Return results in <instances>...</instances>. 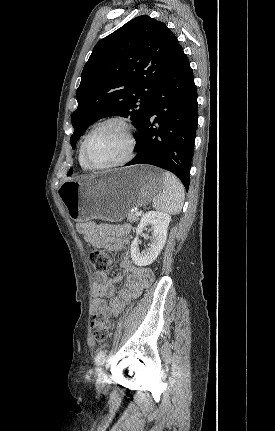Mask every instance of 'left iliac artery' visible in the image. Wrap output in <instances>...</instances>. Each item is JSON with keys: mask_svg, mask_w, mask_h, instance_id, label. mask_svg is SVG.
<instances>
[{"mask_svg": "<svg viewBox=\"0 0 275 431\" xmlns=\"http://www.w3.org/2000/svg\"><path fill=\"white\" fill-rule=\"evenodd\" d=\"M106 350H101L95 357L96 371L99 373L102 371V367L105 363Z\"/></svg>", "mask_w": 275, "mask_h": 431, "instance_id": "1", "label": "left iliac artery"}]
</instances>
